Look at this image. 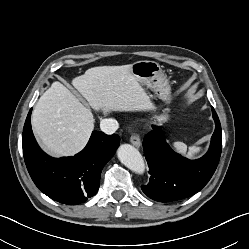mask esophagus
Instances as JSON below:
<instances>
[{"mask_svg": "<svg viewBox=\"0 0 249 249\" xmlns=\"http://www.w3.org/2000/svg\"><path fill=\"white\" fill-rule=\"evenodd\" d=\"M130 142L137 148L141 146V141L138 135L131 136Z\"/></svg>", "mask_w": 249, "mask_h": 249, "instance_id": "34e87169", "label": "esophagus"}]
</instances>
